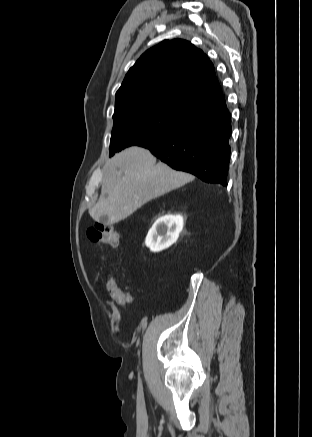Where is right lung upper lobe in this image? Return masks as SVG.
<instances>
[{"instance_id":"1","label":"right lung upper lobe","mask_w":312,"mask_h":437,"mask_svg":"<svg viewBox=\"0 0 312 437\" xmlns=\"http://www.w3.org/2000/svg\"><path fill=\"white\" fill-rule=\"evenodd\" d=\"M223 97L209 58L190 42L164 40L130 68L116 93L115 110L160 102L197 111Z\"/></svg>"}]
</instances>
